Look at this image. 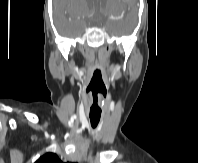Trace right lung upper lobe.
Here are the masks:
<instances>
[{
	"label": "right lung upper lobe",
	"mask_w": 198,
	"mask_h": 163,
	"mask_svg": "<svg viewBox=\"0 0 198 163\" xmlns=\"http://www.w3.org/2000/svg\"><path fill=\"white\" fill-rule=\"evenodd\" d=\"M35 163H63L55 153H46L41 156Z\"/></svg>",
	"instance_id": "right-lung-upper-lobe-1"
}]
</instances>
